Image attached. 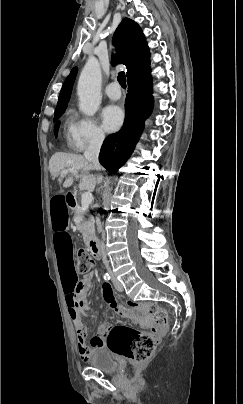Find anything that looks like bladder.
<instances>
[{"instance_id":"bladder-1","label":"bladder","mask_w":243,"mask_h":404,"mask_svg":"<svg viewBox=\"0 0 243 404\" xmlns=\"http://www.w3.org/2000/svg\"><path fill=\"white\" fill-rule=\"evenodd\" d=\"M91 367L102 372L112 373L118 370L119 364L109 349L101 348L95 350L88 359Z\"/></svg>"}]
</instances>
